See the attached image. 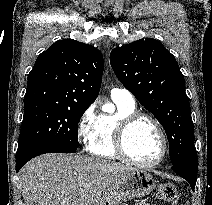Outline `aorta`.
I'll return each mask as SVG.
<instances>
[{"mask_svg":"<svg viewBox=\"0 0 212 205\" xmlns=\"http://www.w3.org/2000/svg\"><path fill=\"white\" fill-rule=\"evenodd\" d=\"M103 110L111 112L113 110V106L112 105H105V106H103Z\"/></svg>","mask_w":212,"mask_h":205,"instance_id":"aorta-1","label":"aorta"}]
</instances>
